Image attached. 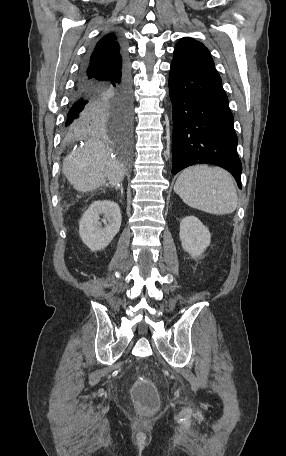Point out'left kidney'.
Returning a JSON list of instances; mask_svg holds the SVG:
<instances>
[{
    "label": "left kidney",
    "mask_w": 286,
    "mask_h": 456,
    "mask_svg": "<svg viewBox=\"0 0 286 456\" xmlns=\"http://www.w3.org/2000/svg\"><path fill=\"white\" fill-rule=\"evenodd\" d=\"M179 237L184 251L193 258L199 257L211 242L208 228L192 215L181 220Z\"/></svg>",
    "instance_id": "1"
}]
</instances>
